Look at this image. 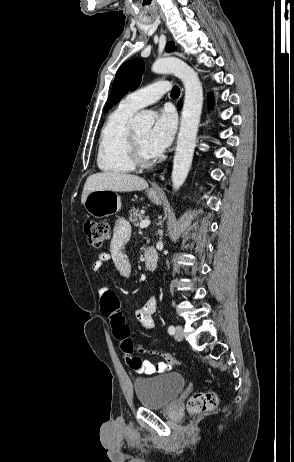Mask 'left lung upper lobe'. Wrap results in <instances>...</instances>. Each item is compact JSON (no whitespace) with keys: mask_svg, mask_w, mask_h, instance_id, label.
<instances>
[{"mask_svg":"<svg viewBox=\"0 0 294 462\" xmlns=\"http://www.w3.org/2000/svg\"><path fill=\"white\" fill-rule=\"evenodd\" d=\"M175 49L174 42H169L166 46L167 52H173ZM144 68L145 64L141 59H132L120 66L113 82L111 94L105 104V112L127 92L133 91L139 86Z\"/></svg>","mask_w":294,"mask_h":462,"instance_id":"left-lung-upper-lobe-1","label":"left lung upper lobe"}]
</instances>
